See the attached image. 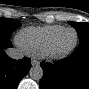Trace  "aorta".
Instances as JSON below:
<instances>
[{
    "label": "aorta",
    "mask_w": 89,
    "mask_h": 89,
    "mask_svg": "<svg viewBox=\"0 0 89 89\" xmlns=\"http://www.w3.org/2000/svg\"><path fill=\"white\" fill-rule=\"evenodd\" d=\"M29 75L33 80H40L43 76V69L39 65H35L30 69Z\"/></svg>",
    "instance_id": "aorta-1"
}]
</instances>
